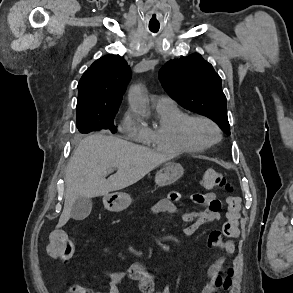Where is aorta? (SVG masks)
<instances>
[{
  "label": "aorta",
  "mask_w": 293,
  "mask_h": 293,
  "mask_svg": "<svg viewBox=\"0 0 293 293\" xmlns=\"http://www.w3.org/2000/svg\"><path fill=\"white\" fill-rule=\"evenodd\" d=\"M132 108L141 114H145L148 108V101L141 85H135L130 90L129 95Z\"/></svg>",
  "instance_id": "aorta-1"
}]
</instances>
